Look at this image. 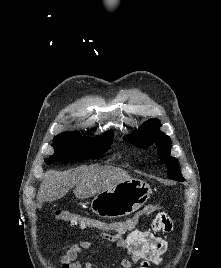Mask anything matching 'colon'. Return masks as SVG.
I'll return each instance as SVG.
<instances>
[{
	"label": "colon",
	"mask_w": 221,
	"mask_h": 268,
	"mask_svg": "<svg viewBox=\"0 0 221 268\" xmlns=\"http://www.w3.org/2000/svg\"><path fill=\"white\" fill-rule=\"evenodd\" d=\"M159 210V205H147L131 217L113 222H105L101 219L81 215L69 210H57L55 217L61 222L69 223L71 226L79 227L82 230L96 229L100 231L128 232L135 229L143 218L149 217Z\"/></svg>",
	"instance_id": "colon-1"
}]
</instances>
